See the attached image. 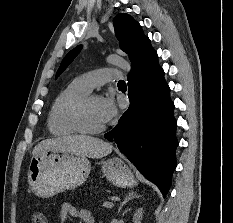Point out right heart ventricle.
I'll return each mask as SVG.
<instances>
[{
    "mask_svg": "<svg viewBox=\"0 0 233 223\" xmlns=\"http://www.w3.org/2000/svg\"><path fill=\"white\" fill-rule=\"evenodd\" d=\"M89 92L76 79L70 82L55 98L48 117L49 132L55 137L76 135L71 124V113L74 106L86 97Z\"/></svg>",
    "mask_w": 233,
    "mask_h": 223,
    "instance_id": "e07e8e85",
    "label": "right heart ventricle"
}]
</instances>
